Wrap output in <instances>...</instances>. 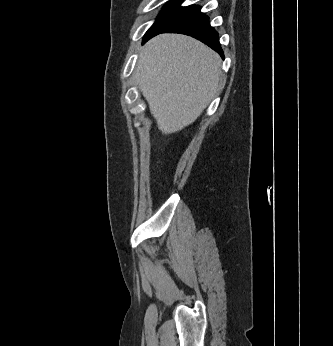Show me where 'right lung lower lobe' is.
<instances>
[{"label": "right lung lower lobe", "mask_w": 333, "mask_h": 346, "mask_svg": "<svg viewBox=\"0 0 333 346\" xmlns=\"http://www.w3.org/2000/svg\"><path fill=\"white\" fill-rule=\"evenodd\" d=\"M160 33H181L189 35L211 47L222 58L224 57L219 42V35L211 27L209 17L201 12V8L198 5L184 7L165 29L148 35L143 39V43Z\"/></svg>", "instance_id": "right-lung-lower-lobe-1"}]
</instances>
